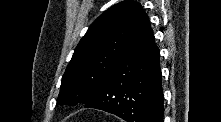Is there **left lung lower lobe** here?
Segmentation results:
<instances>
[{"label": "left lung lower lobe", "instance_id": "1", "mask_svg": "<svg viewBox=\"0 0 221 122\" xmlns=\"http://www.w3.org/2000/svg\"><path fill=\"white\" fill-rule=\"evenodd\" d=\"M85 107L115 114L127 122H162L159 50L142 7L120 58Z\"/></svg>", "mask_w": 221, "mask_h": 122}]
</instances>
